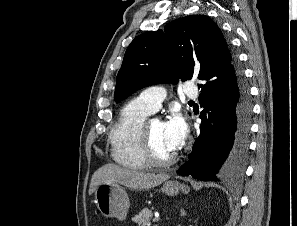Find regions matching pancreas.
Returning <instances> with one entry per match:
<instances>
[{
  "label": "pancreas",
  "instance_id": "cf45deb5",
  "mask_svg": "<svg viewBox=\"0 0 297 226\" xmlns=\"http://www.w3.org/2000/svg\"><path fill=\"white\" fill-rule=\"evenodd\" d=\"M153 218V213L150 209H142L135 217L133 221L138 224V226H149L151 219Z\"/></svg>",
  "mask_w": 297,
  "mask_h": 226
}]
</instances>
